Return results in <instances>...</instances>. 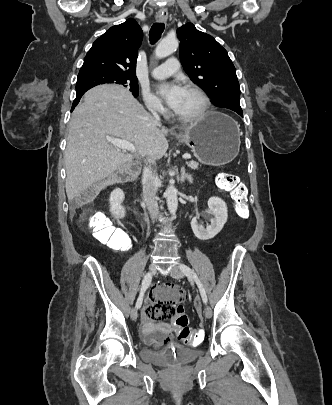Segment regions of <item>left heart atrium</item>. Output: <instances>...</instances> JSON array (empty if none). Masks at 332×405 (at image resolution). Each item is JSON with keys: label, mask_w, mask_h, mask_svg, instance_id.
I'll list each match as a JSON object with an SVG mask.
<instances>
[{"label": "left heart atrium", "mask_w": 332, "mask_h": 405, "mask_svg": "<svg viewBox=\"0 0 332 405\" xmlns=\"http://www.w3.org/2000/svg\"><path fill=\"white\" fill-rule=\"evenodd\" d=\"M159 95L166 101V103L175 110L180 103L184 88L177 82L169 84H160L157 87Z\"/></svg>", "instance_id": "left-heart-atrium-1"}]
</instances>
